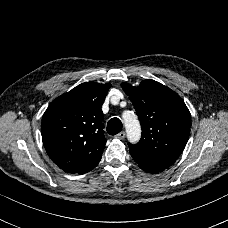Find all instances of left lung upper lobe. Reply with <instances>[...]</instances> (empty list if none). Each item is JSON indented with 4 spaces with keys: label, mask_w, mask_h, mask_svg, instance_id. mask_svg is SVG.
I'll use <instances>...</instances> for the list:
<instances>
[{
    "label": "left lung upper lobe",
    "mask_w": 228,
    "mask_h": 228,
    "mask_svg": "<svg viewBox=\"0 0 228 228\" xmlns=\"http://www.w3.org/2000/svg\"><path fill=\"white\" fill-rule=\"evenodd\" d=\"M139 117L142 136L129 151L140 168L161 172L180 156L189 138L191 115L180 96L154 80L121 84Z\"/></svg>",
    "instance_id": "1"
}]
</instances>
